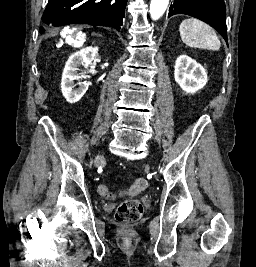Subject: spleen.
<instances>
[{
	"label": "spleen",
	"mask_w": 256,
	"mask_h": 267,
	"mask_svg": "<svg viewBox=\"0 0 256 267\" xmlns=\"http://www.w3.org/2000/svg\"><path fill=\"white\" fill-rule=\"evenodd\" d=\"M179 32L183 44L189 48H201V50H219L220 40L213 28L196 18L183 20L179 26Z\"/></svg>",
	"instance_id": "obj_1"
}]
</instances>
